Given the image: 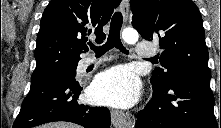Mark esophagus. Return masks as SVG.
Instances as JSON below:
<instances>
[{"instance_id": "34e87169", "label": "esophagus", "mask_w": 221, "mask_h": 128, "mask_svg": "<svg viewBox=\"0 0 221 128\" xmlns=\"http://www.w3.org/2000/svg\"><path fill=\"white\" fill-rule=\"evenodd\" d=\"M121 12L126 20L129 12V0H122ZM111 121L116 128H133L135 125V118L132 114L115 109L111 112Z\"/></svg>"}]
</instances>
